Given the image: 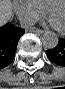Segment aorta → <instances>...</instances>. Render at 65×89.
I'll return each mask as SVG.
<instances>
[{
    "mask_svg": "<svg viewBox=\"0 0 65 89\" xmlns=\"http://www.w3.org/2000/svg\"><path fill=\"white\" fill-rule=\"evenodd\" d=\"M59 38L56 33L47 31L42 36V43L45 49H54L58 45Z\"/></svg>",
    "mask_w": 65,
    "mask_h": 89,
    "instance_id": "762f6f07",
    "label": "aorta"
}]
</instances>
